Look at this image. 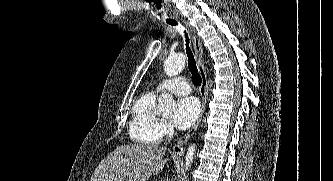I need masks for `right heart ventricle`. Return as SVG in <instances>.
I'll use <instances>...</instances> for the list:
<instances>
[{
  "label": "right heart ventricle",
  "instance_id": "right-heart-ventricle-1",
  "mask_svg": "<svg viewBox=\"0 0 333 181\" xmlns=\"http://www.w3.org/2000/svg\"><path fill=\"white\" fill-rule=\"evenodd\" d=\"M161 119L156 112V94L148 92L141 95L133 104L129 134L133 141L154 144L161 140L158 131Z\"/></svg>",
  "mask_w": 333,
  "mask_h": 181
}]
</instances>
